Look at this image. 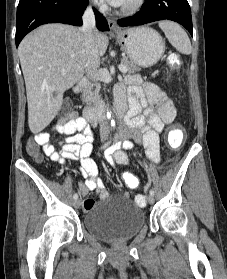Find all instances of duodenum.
Masks as SVG:
<instances>
[{
  "instance_id": "obj_1",
  "label": "duodenum",
  "mask_w": 227,
  "mask_h": 279,
  "mask_svg": "<svg viewBox=\"0 0 227 279\" xmlns=\"http://www.w3.org/2000/svg\"><path fill=\"white\" fill-rule=\"evenodd\" d=\"M87 86V80H81L77 83L75 91L81 92ZM127 112V104L124 100H117L113 107L101 106L90 108L85 111V118L90 122L104 120L109 113L117 118H123Z\"/></svg>"
}]
</instances>
